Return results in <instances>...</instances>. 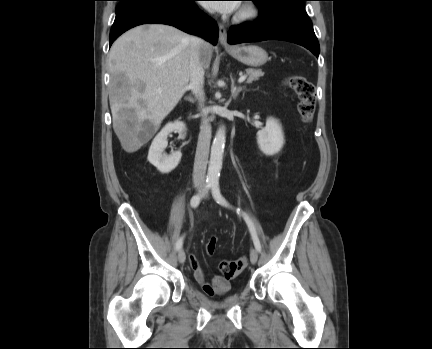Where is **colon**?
<instances>
[{
	"mask_svg": "<svg viewBox=\"0 0 432 349\" xmlns=\"http://www.w3.org/2000/svg\"><path fill=\"white\" fill-rule=\"evenodd\" d=\"M284 84L292 89L298 97L297 109L303 122L308 123L312 120L315 113L316 95L315 87L307 78L298 75H290L284 80ZM217 240L212 237L207 245L208 255H213L216 251ZM247 259L240 257L236 260H224L220 263L222 277L226 280L234 279L247 267Z\"/></svg>",
	"mask_w": 432,
	"mask_h": 349,
	"instance_id": "5ec220e1",
	"label": "colon"
}]
</instances>
